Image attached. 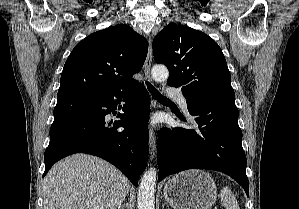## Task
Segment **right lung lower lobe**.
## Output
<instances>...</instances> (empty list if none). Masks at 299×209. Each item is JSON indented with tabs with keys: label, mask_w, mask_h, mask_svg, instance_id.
<instances>
[{
	"label": "right lung lower lobe",
	"mask_w": 299,
	"mask_h": 209,
	"mask_svg": "<svg viewBox=\"0 0 299 209\" xmlns=\"http://www.w3.org/2000/svg\"><path fill=\"white\" fill-rule=\"evenodd\" d=\"M121 101L126 103L124 113L117 115L121 120L105 121ZM149 110L150 96L142 84L130 90L58 97L43 177L58 160L82 152L112 163L136 186L148 160Z\"/></svg>",
	"instance_id": "98d812e1"
}]
</instances>
